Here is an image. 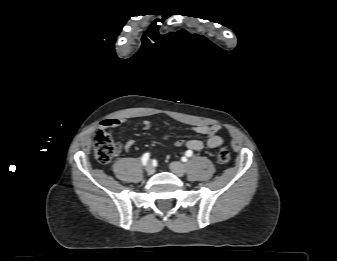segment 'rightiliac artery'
Wrapping results in <instances>:
<instances>
[{
  "label": "right iliac artery",
  "mask_w": 337,
  "mask_h": 261,
  "mask_svg": "<svg viewBox=\"0 0 337 261\" xmlns=\"http://www.w3.org/2000/svg\"><path fill=\"white\" fill-rule=\"evenodd\" d=\"M149 157H150V154L149 153H145L142 158H141V161H142V164L143 165H147V162L149 160Z\"/></svg>",
  "instance_id": "82829eb1"
}]
</instances>
